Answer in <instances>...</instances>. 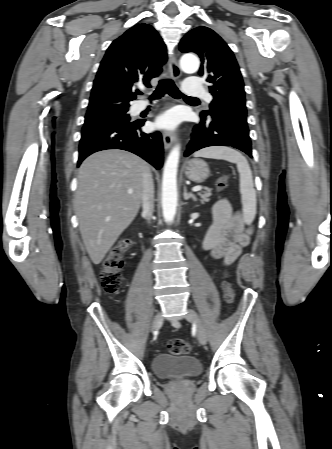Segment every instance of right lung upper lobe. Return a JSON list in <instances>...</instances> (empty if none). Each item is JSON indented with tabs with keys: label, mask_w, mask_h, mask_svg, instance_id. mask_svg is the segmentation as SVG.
I'll use <instances>...</instances> for the list:
<instances>
[{
	"label": "right lung upper lobe",
	"mask_w": 332,
	"mask_h": 449,
	"mask_svg": "<svg viewBox=\"0 0 332 449\" xmlns=\"http://www.w3.org/2000/svg\"><path fill=\"white\" fill-rule=\"evenodd\" d=\"M167 61L166 46L149 24H136L112 42L94 80L87 113L129 108L135 87L162 71Z\"/></svg>",
	"instance_id": "1"
}]
</instances>
